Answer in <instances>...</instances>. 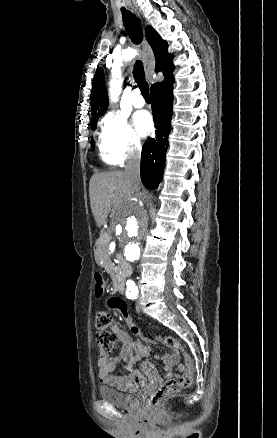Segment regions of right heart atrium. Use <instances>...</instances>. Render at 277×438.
I'll use <instances>...</instances> for the list:
<instances>
[{
  "label": "right heart atrium",
  "instance_id": "1",
  "mask_svg": "<svg viewBox=\"0 0 277 438\" xmlns=\"http://www.w3.org/2000/svg\"><path fill=\"white\" fill-rule=\"evenodd\" d=\"M107 130L122 160L140 153L142 142L124 116L112 120L107 125Z\"/></svg>",
  "mask_w": 277,
  "mask_h": 438
}]
</instances>
